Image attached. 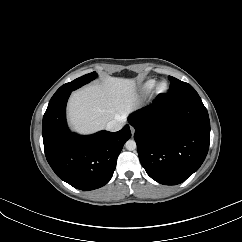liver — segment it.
<instances>
[{"instance_id": "6515ba94", "label": "liver", "mask_w": 242, "mask_h": 242, "mask_svg": "<svg viewBox=\"0 0 242 242\" xmlns=\"http://www.w3.org/2000/svg\"><path fill=\"white\" fill-rule=\"evenodd\" d=\"M139 106L133 79L107 76L72 93L67 107L70 127L80 134L103 129L109 121L125 117Z\"/></svg>"}]
</instances>
